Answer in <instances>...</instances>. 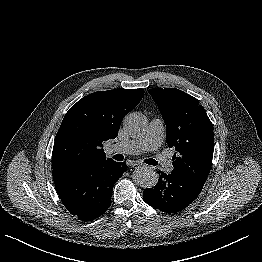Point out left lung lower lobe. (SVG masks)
Returning <instances> with one entry per match:
<instances>
[{
  "label": "left lung lower lobe",
  "mask_w": 262,
  "mask_h": 262,
  "mask_svg": "<svg viewBox=\"0 0 262 262\" xmlns=\"http://www.w3.org/2000/svg\"><path fill=\"white\" fill-rule=\"evenodd\" d=\"M158 183L145 189L143 200L166 213H175L185 209L201 192L204 184L191 180L182 174L172 172L169 175L158 171Z\"/></svg>",
  "instance_id": "1"
}]
</instances>
